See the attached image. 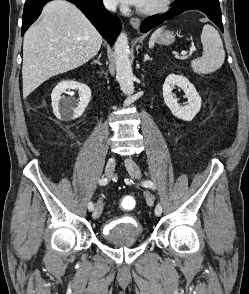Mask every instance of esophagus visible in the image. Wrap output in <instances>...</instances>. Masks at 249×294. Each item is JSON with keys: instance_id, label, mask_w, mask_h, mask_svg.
Here are the masks:
<instances>
[{"instance_id": "esophagus-1", "label": "esophagus", "mask_w": 249, "mask_h": 294, "mask_svg": "<svg viewBox=\"0 0 249 294\" xmlns=\"http://www.w3.org/2000/svg\"><path fill=\"white\" fill-rule=\"evenodd\" d=\"M130 24L132 25L133 28L138 29L140 26V19L139 18H131L130 19Z\"/></svg>"}]
</instances>
